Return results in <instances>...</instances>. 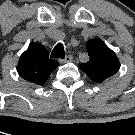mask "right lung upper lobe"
Wrapping results in <instances>:
<instances>
[{
    "label": "right lung upper lobe",
    "mask_w": 135,
    "mask_h": 135,
    "mask_svg": "<svg viewBox=\"0 0 135 135\" xmlns=\"http://www.w3.org/2000/svg\"><path fill=\"white\" fill-rule=\"evenodd\" d=\"M58 65L56 60L49 58V53L42 44L32 42L28 49L22 53L17 71L28 82L41 85L46 82Z\"/></svg>",
    "instance_id": "1"
}]
</instances>
